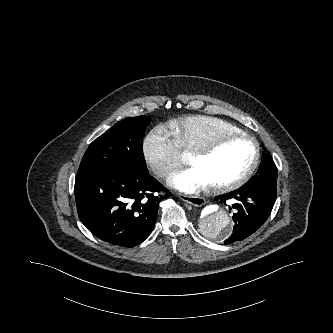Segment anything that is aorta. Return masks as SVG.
I'll use <instances>...</instances> for the list:
<instances>
[{
    "mask_svg": "<svg viewBox=\"0 0 333 333\" xmlns=\"http://www.w3.org/2000/svg\"><path fill=\"white\" fill-rule=\"evenodd\" d=\"M198 225L204 235L222 239L230 233L232 220L222 204L214 202L201 211Z\"/></svg>",
    "mask_w": 333,
    "mask_h": 333,
    "instance_id": "obj_1",
    "label": "aorta"
}]
</instances>
